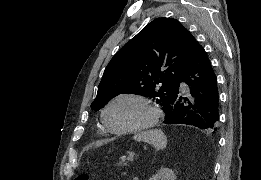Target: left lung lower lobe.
Returning <instances> with one entry per match:
<instances>
[{
  "instance_id": "left-lung-lower-lobe-1",
  "label": "left lung lower lobe",
  "mask_w": 261,
  "mask_h": 180,
  "mask_svg": "<svg viewBox=\"0 0 261 180\" xmlns=\"http://www.w3.org/2000/svg\"><path fill=\"white\" fill-rule=\"evenodd\" d=\"M185 84L184 92L180 86ZM164 124H186L214 133L219 122L217 77L211 62L200 45L180 75L174 94L164 110Z\"/></svg>"
}]
</instances>
